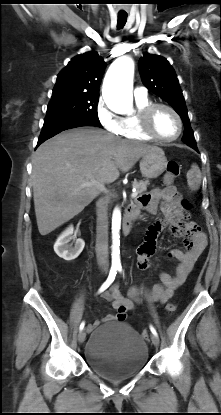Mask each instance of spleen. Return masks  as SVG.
<instances>
[{
    "instance_id": "3e777b00",
    "label": "spleen",
    "mask_w": 221,
    "mask_h": 415,
    "mask_svg": "<svg viewBox=\"0 0 221 415\" xmlns=\"http://www.w3.org/2000/svg\"><path fill=\"white\" fill-rule=\"evenodd\" d=\"M187 183L192 191H197L201 184V172L197 165H192L187 173Z\"/></svg>"
}]
</instances>
